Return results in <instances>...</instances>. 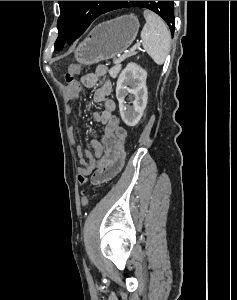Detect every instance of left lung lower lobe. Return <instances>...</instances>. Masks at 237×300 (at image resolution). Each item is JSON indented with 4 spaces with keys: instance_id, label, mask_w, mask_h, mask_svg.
Segmentation results:
<instances>
[{
    "instance_id": "0a47b994",
    "label": "left lung lower lobe",
    "mask_w": 237,
    "mask_h": 300,
    "mask_svg": "<svg viewBox=\"0 0 237 300\" xmlns=\"http://www.w3.org/2000/svg\"><path fill=\"white\" fill-rule=\"evenodd\" d=\"M166 3H167V1H160V6L163 7ZM121 4H122V1H112L105 9V13L112 11V10L120 9ZM172 32H174V30Z\"/></svg>"
}]
</instances>
